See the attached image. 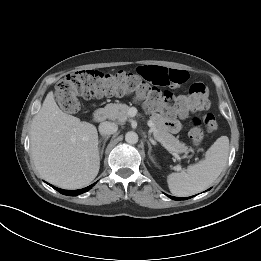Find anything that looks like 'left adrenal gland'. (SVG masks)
I'll return each mask as SVG.
<instances>
[{"label": "left adrenal gland", "mask_w": 261, "mask_h": 261, "mask_svg": "<svg viewBox=\"0 0 261 261\" xmlns=\"http://www.w3.org/2000/svg\"><path fill=\"white\" fill-rule=\"evenodd\" d=\"M148 147H149V150H148V156H149V159L155 164V161H154V158L153 156L151 155V152H152V146L150 144V142L148 141Z\"/></svg>", "instance_id": "left-adrenal-gland-1"}]
</instances>
